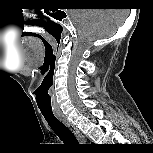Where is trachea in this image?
Listing matches in <instances>:
<instances>
[{
  "label": "trachea",
  "instance_id": "1",
  "mask_svg": "<svg viewBox=\"0 0 153 153\" xmlns=\"http://www.w3.org/2000/svg\"><path fill=\"white\" fill-rule=\"evenodd\" d=\"M45 120L55 134L66 144H77V139L72 131L64 125L53 113L41 111Z\"/></svg>",
  "mask_w": 153,
  "mask_h": 153
}]
</instances>
